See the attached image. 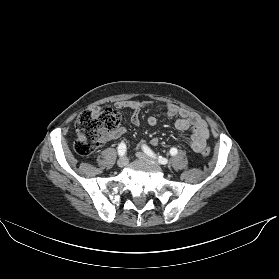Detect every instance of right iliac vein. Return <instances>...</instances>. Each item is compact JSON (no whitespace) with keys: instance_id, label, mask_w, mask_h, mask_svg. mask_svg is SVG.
<instances>
[{"instance_id":"63e3f726","label":"right iliac vein","mask_w":279,"mask_h":279,"mask_svg":"<svg viewBox=\"0 0 279 279\" xmlns=\"http://www.w3.org/2000/svg\"><path fill=\"white\" fill-rule=\"evenodd\" d=\"M127 158L126 157H122L118 160L117 164L120 168H123L127 165Z\"/></svg>"}]
</instances>
